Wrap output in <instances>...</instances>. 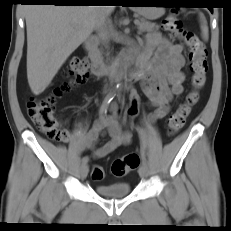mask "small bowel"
Listing matches in <instances>:
<instances>
[{
    "instance_id": "obj_1",
    "label": "small bowel",
    "mask_w": 231,
    "mask_h": 231,
    "mask_svg": "<svg viewBox=\"0 0 231 231\" xmlns=\"http://www.w3.org/2000/svg\"><path fill=\"white\" fill-rule=\"evenodd\" d=\"M184 64L183 47L180 44L172 43L159 32L149 33L145 38L137 68L129 76V115L134 117L139 110L140 98L132 85V82L138 81L150 105L155 108L152 118L160 119L167 116L174 98L184 91ZM115 109L116 105H112L111 110ZM104 132L109 135L110 140L96 147L99 137ZM131 140L130 130L122 129L116 116L112 115L95 121L89 132L79 141V147L92 150L93 157L100 159L118 147L130 144Z\"/></svg>"
}]
</instances>
